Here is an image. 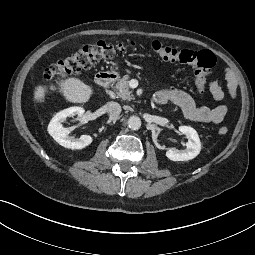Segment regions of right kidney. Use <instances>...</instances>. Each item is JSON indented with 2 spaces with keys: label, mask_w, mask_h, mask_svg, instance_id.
<instances>
[{
  "label": "right kidney",
  "mask_w": 255,
  "mask_h": 255,
  "mask_svg": "<svg viewBox=\"0 0 255 255\" xmlns=\"http://www.w3.org/2000/svg\"><path fill=\"white\" fill-rule=\"evenodd\" d=\"M85 110L81 107H70L57 113L48 125V133L61 146L69 149H83L90 145L93 141L89 135H82L79 139L69 137L70 130L64 128L62 123L67 117H74L78 115L83 116Z\"/></svg>",
  "instance_id": "1"
}]
</instances>
